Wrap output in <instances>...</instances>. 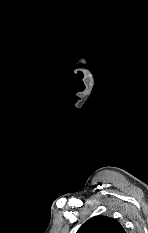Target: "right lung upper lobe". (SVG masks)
<instances>
[{
  "label": "right lung upper lobe",
  "instance_id": "obj_1",
  "mask_svg": "<svg viewBox=\"0 0 148 233\" xmlns=\"http://www.w3.org/2000/svg\"><path fill=\"white\" fill-rule=\"evenodd\" d=\"M77 233H126L123 227L106 216H96L86 221Z\"/></svg>",
  "mask_w": 148,
  "mask_h": 233
}]
</instances>
